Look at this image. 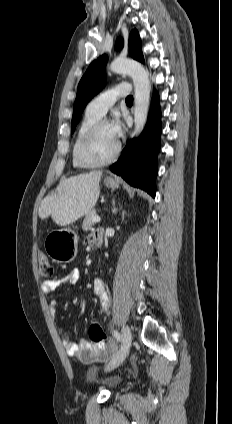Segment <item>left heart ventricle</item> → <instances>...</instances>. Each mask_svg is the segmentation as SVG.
I'll use <instances>...</instances> for the list:
<instances>
[{"label": "left heart ventricle", "instance_id": "1", "mask_svg": "<svg viewBox=\"0 0 232 424\" xmlns=\"http://www.w3.org/2000/svg\"><path fill=\"white\" fill-rule=\"evenodd\" d=\"M117 139L110 125H104L95 135L87 148V155L92 160H102L109 157L115 150Z\"/></svg>", "mask_w": 232, "mask_h": 424}]
</instances>
